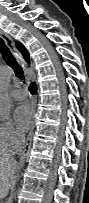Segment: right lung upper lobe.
Wrapping results in <instances>:
<instances>
[{
  "label": "right lung upper lobe",
  "instance_id": "1",
  "mask_svg": "<svg viewBox=\"0 0 89 203\" xmlns=\"http://www.w3.org/2000/svg\"><path fill=\"white\" fill-rule=\"evenodd\" d=\"M15 45L18 48V50L22 53V55L25 57L26 61L29 63V53L25 49V47L20 42H16Z\"/></svg>",
  "mask_w": 89,
  "mask_h": 203
}]
</instances>
